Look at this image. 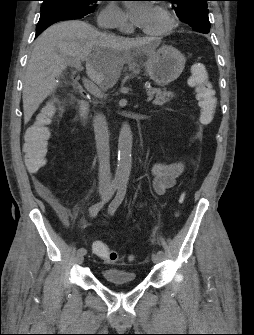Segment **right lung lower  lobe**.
I'll list each match as a JSON object with an SVG mask.
<instances>
[{"label": "right lung lower lobe", "mask_w": 254, "mask_h": 335, "mask_svg": "<svg viewBox=\"0 0 254 335\" xmlns=\"http://www.w3.org/2000/svg\"><path fill=\"white\" fill-rule=\"evenodd\" d=\"M84 15H80L64 8H51L41 12L39 22L36 27V37L40 35L50 25L71 19H81Z\"/></svg>", "instance_id": "1"}]
</instances>
